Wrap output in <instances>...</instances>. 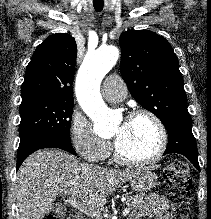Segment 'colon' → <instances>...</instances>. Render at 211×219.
<instances>
[{
	"label": "colon",
	"mask_w": 211,
	"mask_h": 219,
	"mask_svg": "<svg viewBox=\"0 0 211 219\" xmlns=\"http://www.w3.org/2000/svg\"><path fill=\"white\" fill-rule=\"evenodd\" d=\"M165 192L172 210L173 219H188L190 212L189 168L182 160L173 161L164 172ZM46 219H59L56 216H47ZM67 219H72L71 217Z\"/></svg>",
	"instance_id": "1"
}]
</instances>
